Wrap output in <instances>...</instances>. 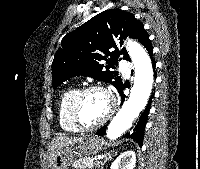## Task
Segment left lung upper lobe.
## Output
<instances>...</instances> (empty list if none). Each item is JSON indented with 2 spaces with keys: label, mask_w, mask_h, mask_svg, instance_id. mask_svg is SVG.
I'll return each mask as SVG.
<instances>
[{
  "label": "left lung upper lobe",
  "mask_w": 200,
  "mask_h": 169,
  "mask_svg": "<svg viewBox=\"0 0 200 169\" xmlns=\"http://www.w3.org/2000/svg\"><path fill=\"white\" fill-rule=\"evenodd\" d=\"M127 36L138 39L144 47L150 42L147 32L134 15L120 9L105 10L68 33L61 42L52 63L53 87L73 76H89L114 85L122 86L121 77L110 71L118 64L120 54L130 61L125 48L119 51L115 39ZM106 56L111 58L107 60ZM106 60L107 65L100 64Z\"/></svg>",
  "instance_id": "5c2ea615"
}]
</instances>
